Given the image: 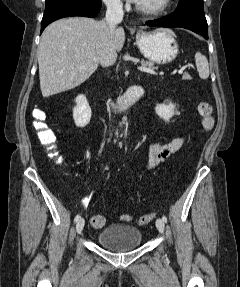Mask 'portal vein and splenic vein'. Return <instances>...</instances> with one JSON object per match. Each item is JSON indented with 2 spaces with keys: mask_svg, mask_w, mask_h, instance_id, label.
<instances>
[{
  "mask_svg": "<svg viewBox=\"0 0 240 287\" xmlns=\"http://www.w3.org/2000/svg\"><path fill=\"white\" fill-rule=\"evenodd\" d=\"M138 70L141 71V72H146V73H151V74H155V72L152 70V69H149L145 66H139L138 67ZM184 71V68L182 67L180 70H179V73H183Z\"/></svg>",
  "mask_w": 240,
  "mask_h": 287,
  "instance_id": "18ae733b",
  "label": "portal vein and splenic vein"
}]
</instances>
